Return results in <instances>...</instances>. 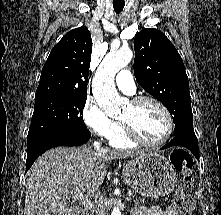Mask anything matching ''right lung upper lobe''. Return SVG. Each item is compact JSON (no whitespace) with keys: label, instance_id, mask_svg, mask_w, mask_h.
Here are the masks:
<instances>
[{"label":"right lung upper lobe","instance_id":"cb5924a9","mask_svg":"<svg viewBox=\"0 0 221 215\" xmlns=\"http://www.w3.org/2000/svg\"><path fill=\"white\" fill-rule=\"evenodd\" d=\"M91 52L92 39L86 27L65 34L41 71L35 102L60 95H87Z\"/></svg>","mask_w":221,"mask_h":215}]
</instances>
